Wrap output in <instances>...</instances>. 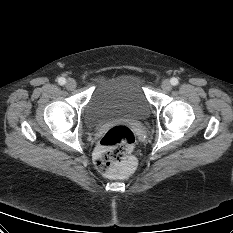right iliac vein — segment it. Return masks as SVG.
Returning a JSON list of instances; mask_svg holds the SVG:
<instances>
[{"instance_id":"right-iliac-vein-1","label":"right iliac vein","mask_w":233,"mask_h":233,"mask_svg":"<svg viewBox=\"0 0 233 233\" xmlns=\"http://www.w3.org/2000/svg\"><path fill=\"white\" fill-rule=\"evenodd\" d=\"M76 81L72 78H69L66 82V88L68 90H74L76 88Z\"/></svg>"}]
</instances>
